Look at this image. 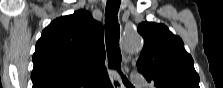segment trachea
<instances>
[{"mask_svg":"<svg viewBox=\"0 0 223 88\" xmlns=\"http://www.w3.org/2000/svg\"><path fill=\"white\" fill-rule=\"evenodd\" d=\"M121 0H107L105 12V34L106 49L108 54V65L110 69H115L121 75L124 85L132 87L125 75L121 71V51L119 48L120 26L117 14Z\"/></svg>","mask_w":223,"mask_h":88,"instance_id":"3493384b","label":"trachea"}]
</instances>
